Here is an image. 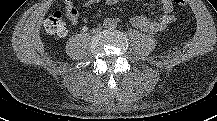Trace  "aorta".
Returning a JSON list of instances; mask_svg holds the SVG:
<instances>
[{
    "mask_svg": "<svg viewBox=\"0 0 217 121\" xmlns=\"http://www.w3.org/2000/svg\"><path fill=\"white\" fill-rule=\"evenodd\" d=\"M105 28L111 29L117 26V22L113 18H106L103 23Z\"/></svg>",
    "mask_w": 217,
    "mask_h": 121,
    "instance_id": "aorta-1",
    "label": "aorta"
}]
</instances>
